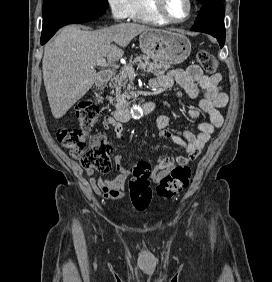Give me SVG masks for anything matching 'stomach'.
<instances>
[{
	"instance_id": "1",
	"label": "stomach",
	"mask_w": 272,
	"mask_h": 282,
	"mask_svg": "<svg viewBox=\"0 0 272 282\" xmlns=\"http://www.w3.org/2000/svg\"><path fill=\"white\" fill-rule=\"evenodd\" d=\"M142 51L160 64H180L191 53V42L175 30L150 29L139 37Z\"/></svg>"
}]
</instances>
